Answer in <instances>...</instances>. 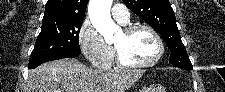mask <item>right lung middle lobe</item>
<instances>
[{
    "label": "right lung middle lobe",
    "mask_w": 225,
    "mask_h": 92,
    "mask_svg": "<svg viewBox=\"0 0 225 92\" xmlns=\"http://www.w3.org/2000/svg\"><path fill=\"white\" fill-rule=\"evenodd\" d=\"M82 22L42 24L30 60L57 55L64 52H79V31Z\"/></svg>",
    "instance_id": "obj_1"
}]
</instances>
